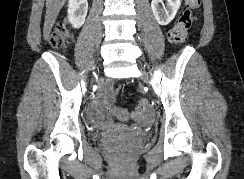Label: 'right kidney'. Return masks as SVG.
Listing matches in <instances>:
<instances>
[{"mask_svg":"<svg viewBox=\"0 0 244 179\" xmlns=\"http://www.w3.org/2000/svg\"><path fill=\"white\" fill-rule=\"evenodd\" d=\"M87 10V0H69L67 18L73 28H81V26H83L87 16Z\"/></svg>","mask_w":244,"mask_h":179,"instance_id":"obj_1","label":"right kidney"}]
</instances>
